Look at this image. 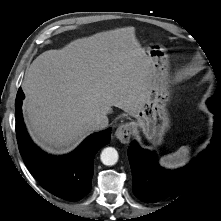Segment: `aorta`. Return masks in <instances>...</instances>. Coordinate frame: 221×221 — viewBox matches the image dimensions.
<instances>
[{
    "mask_svg": "<svg viewBox=\"0 0 221 221\" xmlns=\"http://www.w3.org/2000/svg\"><path fill=\"white\" fill-rule=\"evenodd\" d=\"M100 159L104 165L112 166L118 161V152L113 147H107L101 152Z\"/></svg>",
    "mask_w": 221,
    "mask_h": 221,
    "instance_id": "762f6f07",
    "label": "aorta"
}]
</instances>
